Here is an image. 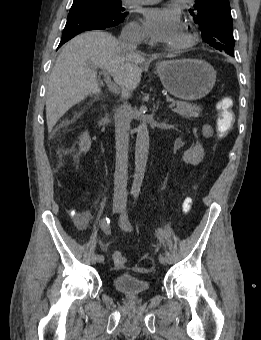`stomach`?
Listing matches in <instances>:
<instances>
[{
  "label": "stomach",
  "instance_id": "0dacf381",
  "mask_svg": "<svg viewBox=\"0 0 261 340\" xmlns=\"http://www.w3.org/2000/svg\"><path fill=\"white\" fill-rule=\"evenodd\" d=\"M160 80L174 97L193 101L207 96L215 85L216 71L200 59L163 61L157 66Z\"/></svg>",
  "mask_w": 261,
  "mask_h": 340
}]
</instances>
